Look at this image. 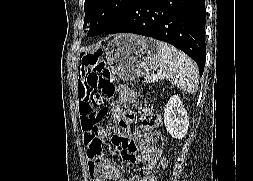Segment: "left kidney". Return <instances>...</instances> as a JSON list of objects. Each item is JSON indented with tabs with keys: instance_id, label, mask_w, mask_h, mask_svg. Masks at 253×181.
<instances>
[{
	"instance_id": "obj_1",
	"label": "left kidney",
	"mask_w": 253,
	"mask_h": 181,
	"mask_svg": "<svg viewBox=\"0 0 253 181\" xmlns=\"http://www.w3.org/2000/svg\"><path fill=\"white\" fill-rule=\"evenodd\" d=\"M164 124L167 132L176 139H182L189 126V116L178 95L170 97L164 109Z\"/></svg>"
}]
</instances>
